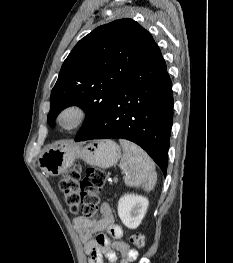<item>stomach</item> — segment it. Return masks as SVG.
Returning a JSON list of instances; mask_svg holds the SVG:
<instances>
[{"mask_svg": "<svg viewBox=\"0 0 233 263\" xmlns=\"http://www.w3.org/2000/svg\"><path fill=\"white\" fill-rule=\"evenodd\" d=\"M121 157V149L112 140H103L78 148L68 143H58L46 147L38 159V165L48 175L58 176L70 168L76 158L100 168L115 165Z\"/></svg>", "mask_w": 233, "mask_h": 263, "instance_id": "0dacf381", "label": "stomach"}]
</instances>
